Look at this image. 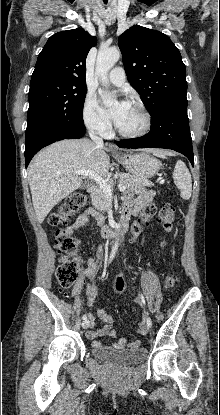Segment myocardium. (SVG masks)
Listing matches in <instances>:
<instances>
[{
	"label": "myocardium",
	"mask_w": 220,
	"mask_h": 415,
	"mask_svg": "<svg viewBox=\"0 0 220 415\" xmlns=\"http://www.w3.org/2000/svg\"><path fill=\"white\" fill-rule=\"evenodd\" d=\"M129 104L135 106L142 113V115L144 117V125L140 130L133 131V132L124 131L116 125L115 126L116 131L119 135H121L122 137H125V138H139V137H142V136L146 135L152 127V116H151L149 110L147 109V107L142 102H140L138 100H130Z\"/></svg>",
	"instance_id": "myocardium-1"
}]
</instances>
